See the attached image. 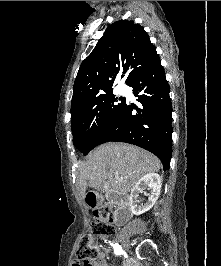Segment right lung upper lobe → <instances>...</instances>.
Wrapping results in <instances>:
<instances>
[{"instance_id":"obj_1","label":"right lung upper lobe","mask_w":221,"mask_h":266,"mask_svg":"<svg viewBox=\"0 0 221 266\" xmlns=\"http://www.w3.org/2000/svg\"><path fill=\"white\" fill-rule=\"evenodd\" d=\"M160 60L144 28L129 20L111 24L90 55L82 62L74 82L71 118L86 111L92 101L112 90L122 73L129 85L133 78Z\"/></svg>"}]
</instances>
